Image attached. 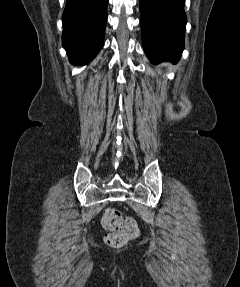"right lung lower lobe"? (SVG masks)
I'll return each mask as SVG.
<instances>
[{
  "mask_svg": "<svg viewBox=\"0 0 240 287\" xmlns=\"http://www.w3.org/2000/svg\"><path fill=\"white\" fill-rule=\"evenodd\" d=\"M108 0H67L62 44L71 63L86 64L103 47Z\"/></svg>",
  "mask_w": 240,
  "mask_h": 287,
  "instance_id": "1",
  "label": "right lung lower lobe"
}]
</instances>
